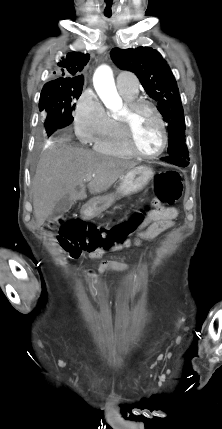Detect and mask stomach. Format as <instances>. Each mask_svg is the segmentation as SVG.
I'll use <instances>...</instances> for the list:
<instances>
[{"label":"stomach","mask_w":222,"mask_h":429,"mask_svg":"<svg viewBox=\"0 0 222 429\" xmlns=\"http://www.w3.org/2000/svg\"><path fill=\"white\" fill-rule=\"evenodd\" d=\"M154 176L153 170L148 166H137L121 177L120 185L115 193L91 199L83 214L87 218L98 216L107 210L117 197L129 196L143 190Z\"/></svg>","instance_id":"1"}]
</instances>
